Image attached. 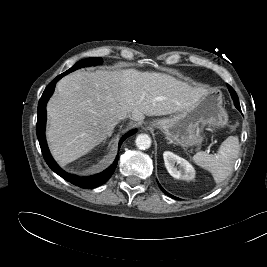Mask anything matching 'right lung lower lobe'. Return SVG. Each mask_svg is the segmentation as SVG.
<instances>
[{
  "instance_id": "right-lung-lower-lobe-1",
  "label": "right lung lower lobe",
  "mask_w": 267,
  "mask_h": 267,
  "mask_svg": "<svg viewBox=\"0 0 267 267\" xmlns=\"http://www.w3.org/2000/svg\"><path fill=\"white\" fill-rule=\"evenodd\" d=\"M65 74H61L57 76L52 82L48 84V86L45 88L41 99L39 100L38 104V119H37V137L39 140V144L43 153V157L48 164V166L59 176H61L63 179L67 180L68 182H71L72 184L79 186L81 188H95L98 187L102 184H104L114 173L115 168L118 163V157L119 154L117 155L115 161L113 164L107 168L105 171L92 175V176H87V177H79L76 175L68 174L65 171H63L54 161L52 158L45 139V124H46V104L51 95L53 94L55 84L56 82L61 79ZM136 131H131L128 134H126L124 137L119 142V148L122 144V142L130 135L135 133Z\"/></svg>"
}]
</instances>
